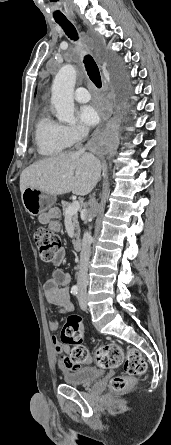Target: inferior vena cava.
I'll return each mask as SVG.
<instances>
[{
    "label": "inferior vena cava",
    "mask_w": 171,
    "mask_h": 445,
    "mask_svg": "<svg viewBox=\"0 0 171 445\" xmlns=\"http://www.w3.org/2000/svg\"><path fill=\"white\" fill-rule=\"evenodd\" d=\"M88 130L83 128L81 130V136L83 138L87 137ZM84 148L80 149L79 152H84ZM92 243V237L90 232H85L82 239V249L80 253V267L77 275V284L80 292L86 293L88 286V266L90 258V246Z\"/></svg>",
    "instance_id": "602c4592"
}]
</instances>
